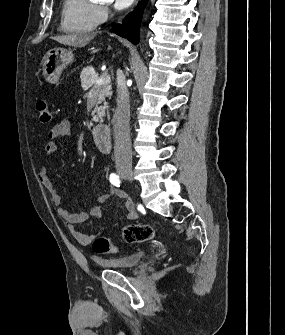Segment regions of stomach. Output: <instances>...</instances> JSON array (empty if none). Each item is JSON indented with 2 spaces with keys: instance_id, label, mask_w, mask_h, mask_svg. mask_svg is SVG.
I'll list each match as a JSON object with an SVG mask.
<instances>
[{
  "instance_id": "obj_1",
  "label": "stomach",
  "mask_w": 285,
  "mask_h": 335,
  "mask_svg": "<svg viewBox=\"0 0 285 335\" xmlns=\"http://www.w3.org/2000/svg\"><path fill=\"white\" fill-rule=\"evenodd\" d=\"M72 62H74V54L71 50H64V48L49 50L41 64L42 74L46 82L58 84L64 68Z\"/></svg>"
}]
</instances>
